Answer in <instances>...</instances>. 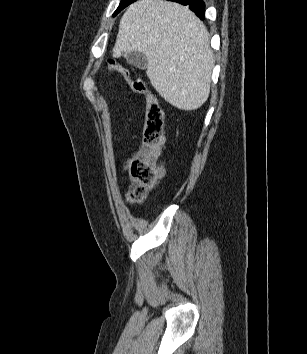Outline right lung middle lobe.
<instances>
[{"label":"right lung middle lobe","mask_w":307,"mask_h":354,"mask_svg":"<svg viewBox=\"0 0 307 354\" xmlns=\"http://www.w3.org/2000/svg\"><path fill=\"white\" fill-rule=\"evenodd\" d=\"M136 0H121L119 7L117 8V10L114 13V16L117 15L122 9H124L126 6H128L129 4L135 2Z\"/></svg>","instance_id":"1"}]
</instances>
